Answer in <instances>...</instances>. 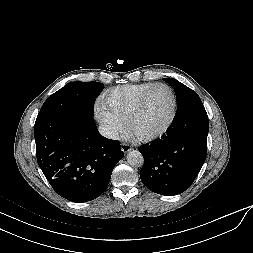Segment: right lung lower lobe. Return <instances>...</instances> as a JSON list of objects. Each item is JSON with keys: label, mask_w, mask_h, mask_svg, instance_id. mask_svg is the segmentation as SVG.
I'll list each match as a JSON object with an SVG mask.
<instances>
[{"label": "right lung lower lobe", "mask_w": 253, "mask_h": 253, "mask_svg": "<svg viewBox=\"0 0 253 253\" xmlns=\"http://www.w3.org/2000/svg\"><path fill=\"white\" fill-rule=\"evenodd\" d=\"M34 131L38 164L55 192L69 201L100 196L124 156L118 141L99 134L91 115L42 111Z\"/></svg>", "instance_id": "98d812e1"}]
</instances>
